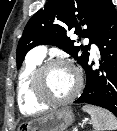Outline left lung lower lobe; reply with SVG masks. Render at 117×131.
Returning a JSON list of instances; mask_svg holds the SVG:
<instances>
[{
	"label": "left lung lower lobe",
	"mask_w": 117,
	"mask_h": 131,
	"mask_svg": "<svg viewBox=\"0 0 117 131\" xmlns=\"http://www.w3.org/2000/svg\"><path fill=\"white\" fill-rule=\"evenodd\" d=\"M96 45L101 54L100 66L84 65L86 85L74 103H87L105 108L117 117V11L108 7L99 30Z\"/></svg>",
	"instance_id": "obj_1"
}]
</instances>
